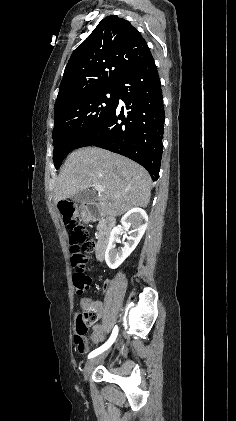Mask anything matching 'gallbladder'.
<instances>
[{
	"label": "gallbladder",
	"instance_id": "obj_1",
	"mask_svg": "<svg viewBox=\"0 0 236 421\" xmlns=\"http://www.w3.org/2000/svg\"><path fill=\"white\" fill-rule=\"evenodd\" d=\"M71 198L72 200H75V202H88L89 200L87 190H79V192L73 194Z\"/></svg>",
	"mask_w": 236,
	"mask_h": 421
}]
</instances>
